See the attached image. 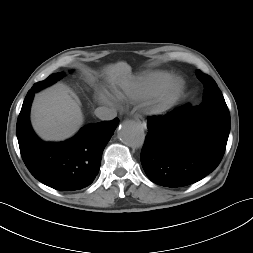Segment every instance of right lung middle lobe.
I'll return each instance as SVG.
<instances>
[{
	"instance_id": "obj_1",
	"label": "right lung middle lobe",
	"mask_w": 253,
	"mask_h": 253,
	"mask_svg": "<svg viewBox=\"0 0 253 253\" xmlns=\"http://www.w3.org/2000/svg\"><path fill=\"white\" fill-rule=\"evenodd\" d=\"M63 76H64V74H62V73L52 74L44 81L34 84V86L30 90L39 91V90L49 86L50 84L55 83L57 80L61 79Z\"/></svg>"
}]
</instances>
